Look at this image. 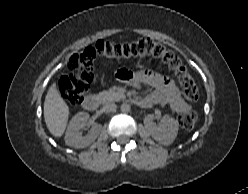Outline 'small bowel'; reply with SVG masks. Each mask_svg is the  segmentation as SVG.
<instances>
[{
    "mask_svg": "<svg viewBox=\"0 0 248 194\" xmlns=\"http://www.w3.org/2000/svg\"><path fill=\"white\" fill-rule=\"evenodd\" d=\"M127 81L137 87L144 84L154 88L151 94L141 99L146 102L145 107L169 105L177 113H184L190 109V104L183 99L178 86L156 71L144 69L131 73Z\"/></svg>",
    "mask_w": 248,
    "mask_h": 194,
    "instance_id": "small-bowel-1",
    "label": "small bowel"
}]
</instances>
